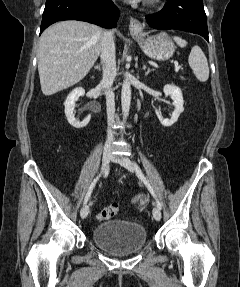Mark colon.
<instances>
[{
  "mask_svg": "<svg viewBox=\"0 0 240 287\" xmlns=\"http://www.w3.org/2000/svg\"><path fill=\"white\" fill-rule=\"evenodd\" d=\"M118 212V204L117 203H112L108 206H106L104 209H102L98 214H97V220L98 221H105L113 216H115Z\"/></svg>",
  "mask_w": 240,
  "mask_h": 287,
  "instance_id": "1",
  "label": "colon"
}]
</instances>
